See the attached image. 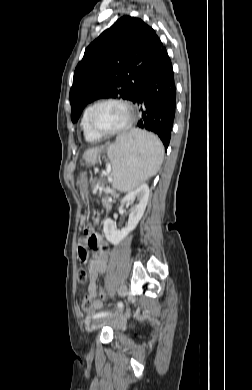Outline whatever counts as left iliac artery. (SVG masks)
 <instances>
[{"label": "left iliac artery", "instance_id": "left-iliac-artery-1", "mask_svg": "<svg viewBox=\"0 0 252 390\" xmlns=\"http://www.w3.org/2000/svg\"><path fill=\"white\" fill-rule=\"evenodd\" d=\"M122 307H123V303H122L121 301L118 302V303H117V308H122ZM106 315H108V312H107V311H102V312H99V313L95 314V315L93 316V318H94V319H97V318L104 317V316H106Z\"/></svg>", "mask_w": 252, "mask_h": 390}]
</instances>
